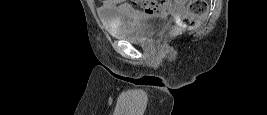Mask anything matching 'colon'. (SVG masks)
<instances>
[{
  "instance_id": "obj_1",
  "label": "colon",
  "mask_w": 267,
  "mask_h": 115,
  "mask_svg": "<svg viewBox=\"0 0 267 115\" xmlns=\"http://www.w3.org/2000/svg\"><path fill=\"white\" fill-rule=\"evenodd\" d=\"M206 3L202 1L192 0L188 3L186 14L181 19V27L193 28L196 26L198 18L204 12ZM180 29L172 30L169 34H176Z\"/></svg>"
}]
</instances>
